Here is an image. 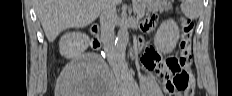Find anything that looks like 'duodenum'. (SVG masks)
Wrapping results in <instances>:
<instances>
[{"label": "duodenum", "instance_id": "410a0bca", "mask_svg": "<svg viewBox=\"0 0 232 96\" xmlns=\"http://www.w3.org/2000/svg\"><path fill=\"white\" fill-rule=\"evenodd\" d=\"M96 32H97V27H96V26L92 27L91 33H92V35L94 36V37H93V42H92L93 48H94L95 50H99V49H100V46H101V43H100V41L95 37Z\"/></svg>", "mask_w": 232, "mask_h": 96}]
</instances>
